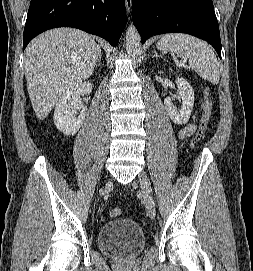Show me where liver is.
<instances>
[{
    "instance_id": "1",
    "label": "liver",
    "mask_w": 253,
    "mask_h": 271,
    "mask_svg": "<svg viewBox=\"0 0 253 271\" xmlns=\"http://www.w3.org/2000/svg\"><path fill=\"white\" fill-rule=\"evenodd\" d=\"M100 46L87 33L56 28L33 39L25 50L24 69L33 110L44 120L63 94L88 79Z\"/></svg>"
}]
</instances>
